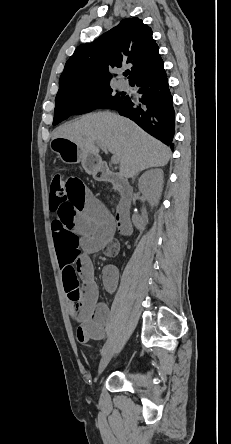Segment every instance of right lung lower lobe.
Segmentation results:
<instances>
[{
	"label": "right lung lower lobe",
	"instance_id": "obj_1",
	"mask_svg": "<svg viewBox=\"0 0 231 444\" xmlns=\"http://www.w3.org/2000/svg\"><path fill=\"white\" fill-rule=\"evenodd\" d=\"M130 85L139 87L138 93L141 98L137 101L124 96L111 108L129 117L145 131L173 149L175 112L163 66L131 81Z\"/></svg>",
	"mask_w": 231,
	"mask_h": 444
}]
</instances>
